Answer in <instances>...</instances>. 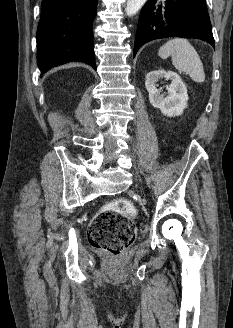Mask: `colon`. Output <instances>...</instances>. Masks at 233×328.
<instances>
[{"label": "colon", "instance_id": "1", "mask_svg": "<svg viewBox=\"0 0 233 328\" xmlns=\"http://www.w3.org/2000/svg\"><path fill=\"white\" fill-rule=\"evenodd\" d=\"M135 215L136 208L127 199L107 203L89 225V243L112 256L123 255L135 238Z\"/></svg>", "mask_w": 233, "mask_h": 328}]
</instances>
